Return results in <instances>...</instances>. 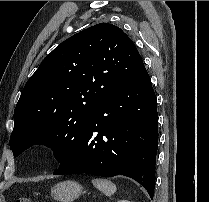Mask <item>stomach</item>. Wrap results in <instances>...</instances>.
Instances as JSON below:
<instances>
[{
    "label": "stomach",
    "instance_id": "0dacf381",
    "mask_svg": "<svg viewBox=\"0 0 209 202\" xmlns=\"http://www.w3.org/2000/svg\"><path fill=\"white\" fill-rule=\"evenodd\" d=\"M83 193V187L76 181H63L51 188V196L60 202H73Z\"/></svg>",
    "mask_w": 209,
    "mask_h": 202
}]
</instances>
